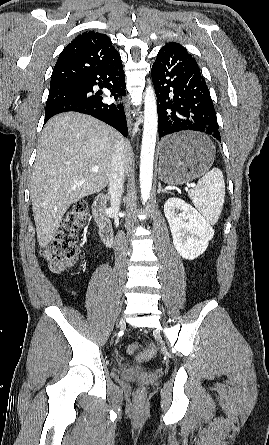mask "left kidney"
I'll list each match as a JSON object with an SVG mask.
<instances>
[{
    "instance_id": "left-kidney-1",
    "label": "left kidney",
    "mask_w": 269,
    "mask_h": 445,
    "mask_svg": "<svg viewBox=\"0 0 269 445\" xmlns=\"http://www.w3.org/2000/svg\"><path fill=\"white\" fill-rule=\"evenodd\" d=\"M164 214L174 247L183 258L193 260L205 252L214 230L194 207L180 198H169Z\"/></svg>"
}]
</instances>
